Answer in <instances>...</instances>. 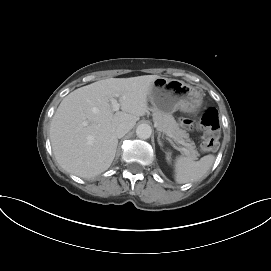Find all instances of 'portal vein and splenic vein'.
I'll return each instance as SVG.
<instances>
[{
	"label": "portal vein and splenic vein",
	"mask_w": 271,
	"mask_h": 271,
	"mask_svg": "<svg viewBox=\"0 0 271 271\" xmlns=\"http://www.w3.org/2000/svg\"><path fill=\"white\" fill-rule=\"evenodd\" d=\"M111 104H112V109H113V111H118L119 110V108H120V104L118 103V101L116 100V99H111ZM169 137H171L175 142H178V143H180L175 137H173L172 135H168ZM182 151H184V152H187V150L186 149H182Z\"/></svg>",
	"instance_id": "18ae733b"
}]
</instances>
